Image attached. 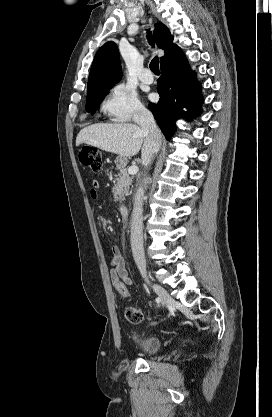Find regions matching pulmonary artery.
Segmentation results:
<instances>
[{"label":"pulmonary artery","instance_id":"pulmonary-artery-1","mask_svg":"<svg viewBox=\"0 0 272 417\" xmlns=\"http://www.w3.org/2000/svg\"><path fill=\"white\" fill-rule=\"evenodd\" d=\"M140 80L143 83L151 84L153 82L154 78H153V75L151 74L150 70L145 69L140 76Z\"/></svg>","mask_w":272,"mask_h":417}]
</instances>
